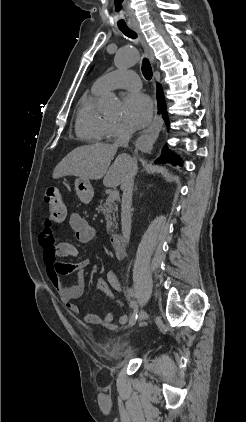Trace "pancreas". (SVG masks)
<instances>
[{
  "label": "pancreas",
  "mask_w": 246,
  "mask_h": 422,
  "mask_svg": "<svg viewBox=\"0 0 246 422\" xmlns=\"http://www.w3.org/2000/svg\"><path fill=\"white\" fill-rule=\"evenodd\" d=\"M97 210L99 212H103V214L105 215V219L107 222V225H106L107 232L108 233L111 232L113 230V222H115L118 217L117 204L114 201L109 200V198H107L104 201V203H101L98 206Z\"/></svg>",
  "instance_id": "cf45deb5"
}]
</instances>
